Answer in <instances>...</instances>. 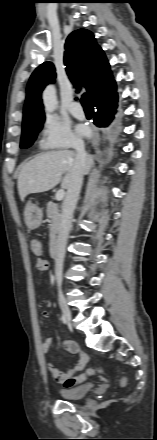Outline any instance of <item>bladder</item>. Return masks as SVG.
<instances>
[{
    "instance_id": "31cf9c89",
    "label": "bladder",
    "mask_w": 157,
    "mask_h": 440,
    "mask_svg": "<svg viewBox=\"0 0 157 440\" xmlns=\"http://www.w3.org/2000/svg\"><path fill=\"white\" fill-rule=\"evenodd\" d=\"M93 389V384H83L77 387H65L59 390V395L66 401H76L85 397Z\"/></svg>"
}]
</instances>
